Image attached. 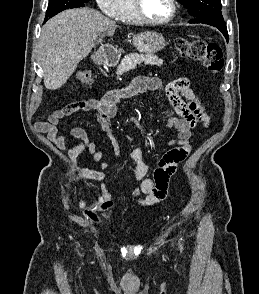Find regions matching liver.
<instances>
[{
  "instance_id": "obj_1",
  "label": "liver",
  "mask_w": 259,
  "mask_h": 294,
  "mask_svg": "<svg viewBox=\"0 0 259 294\" xmlns=\"http://www.w3.org/2000/svg\"><path fill=\"white\" fill-rule=\"evenodd\" d=\"M117 28L113 20L90 8L69 9L48 20L38 41L45 87L56 90L64 85L97 39L112 36Z\"/></svg>"
}]
</instances>
